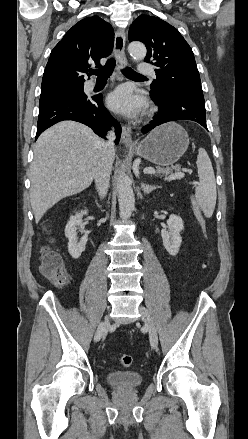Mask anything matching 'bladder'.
Returning a JSON list of instances; mask_svg holds the SVG:
<instances>
[{"label": "bladder", "mask_w": 248, "mask_h": 439, "mask_svg": "<svg viewBox=\"0 0 248 439\" xmlns=\"http://www.w3.org/2000/svg\"><path fill=\"white\" fill-rule=\"evenodd\" d=\"M107 383L115 388L135 389L142 385L143 376L133 371H116L106 374Z\"/></svg>", "instance_id": "31cf9c89"}]
</instances>
